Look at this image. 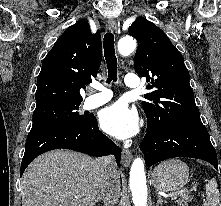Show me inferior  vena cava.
I'll list each match as a JSON object with an SVG mask.
<instances>
[{"mask_svg": "<svg viewBox=\"0 0 221 206\" xmlns=\"http://www.w3.org/2000/svg\"><path fill=\"white\" fill-rule=\"evenodd\" d=\"M104 170V181L102 184V198L104 206H113L119 200L120 176L113 156L100 159Z\"/></svg>", "mask_w": 221, "mask_h": 206, "instance_id": "602c4592", "label": "inferior vena cava"}]
</instances>
